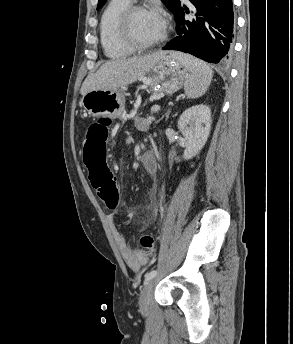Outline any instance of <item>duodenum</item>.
Wrapping results in <instances>:
<instances>
[{
	"mask_svg": "<svg viewBox=\"0 0 293 344\" xmlns=\"http://www.w3.org/2000/svg\"><path fill=\"white\" fill-rule=\"evenodd\" d=\"M154 162V157L152 153L146 152L141 157V164L149 168L151 164Z\"/></svg>",
	"mask_w": 293,
	"mask_h": 344,
	"instance_id": "1",
	"label": "duodenum"
}]
</instances>
